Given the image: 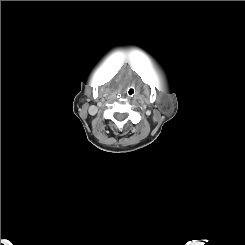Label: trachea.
Listing matches in <instances>:
<instances>
[{
    "instance_id": "1",
    "label": "trachea",
    "mask_w": 245,
    "mask_h": 245,
    "mask_svg": "<svg viewBox=\"0 0 245 245\" xmlns=\"http://www.w3.org/2000/svg\"><path fill=\"white\" fill-rule=\"evenodd\" d=\"M136 94V88L134 85H130L128 88H127V95L129 97H133L134 95Z\"/></svg>"
}]
</instances>
